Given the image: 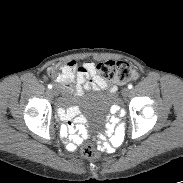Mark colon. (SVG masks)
Segmentation results:
<instances>
[{"label": "colon", "mask_w": 183, "mask_h": 183, "mask_svg": "<svg viewBox=\"0 0 183 183\" xmlns=\"http://www.w3.org/2000/svg\"><path fill=\"white\" fill-rule=\"evenodd\" d=\"M97 70L103 78L120 84L136 80L138 78L137 68L133 64L125 61H104L97 65ZM57 81L59 83L63 81V77L60 73L57 76ZM81 153L85 158L90 160L98 158L93 145L89 142L82 146Z\"/></svg>", "instance_id": "1"}]
</instances>
